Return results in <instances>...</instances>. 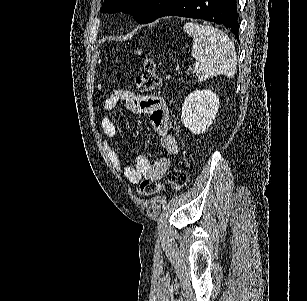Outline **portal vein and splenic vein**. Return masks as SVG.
<instances>
[{
	"label": "portal vein and splenic vein",
	"instance_id": "1",
	"mask_svg": "<svg viewBox=\"0 0 307 301\" xmlns=\"http://www.w3.org/2000/svg\"><path fill=\"white\" fill-rule=\"evenodd\" d=\"M194 68H198V62H196V64H195Z\"/></svg>",
	"mask_w": 307,
	"mask_h": 301
}]
</instances>
